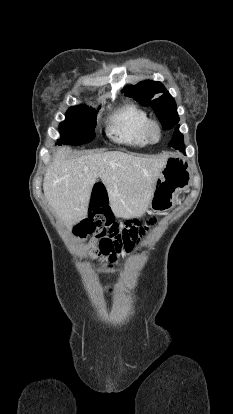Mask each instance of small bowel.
I'll return each mask as SVG.
<instances>
[{"label":"small bowel","mask_w":233,"mask_h":414,"mask_svg":"<svg viewBox=\"0 0 233 414\" xmlns=\"http://www.w3.org/2000/svg\"><path fill=\"white\" fill-rule=\"evenodd\" d=\"M106 257H108V262H119V257H116L117 255L119 256L120 254L118 253V254H116V252H106L105 254H104ZM101 261L103 260L102 258L100 259ZM108 266L110 265H113V266H117L118 264L116 263H113V264H107ZM112 288H114L115 286L114 285H112L111 286ZM111 292L113 291L112 289L110 290Z\"/></svg>","instance_id":"small-bowel-1"}]
</instances>
